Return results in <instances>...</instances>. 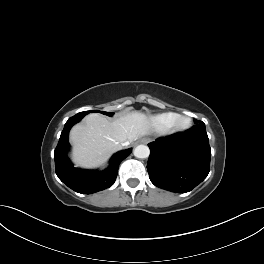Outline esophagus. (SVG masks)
I'll return each mask as SVG.
<instances>
[{"label":"esophagus","mask_w":264,"mask_h":264,"mask_svg":"<svg viewBox=\"0 0 264 264\" xmlns=\"http://www.w3.org/2000/svg\"><path fill=\"white\" fill-rule=\"evenodd\" d=\"M140 142H141V143H144V144H147V143L149 142V139H147V138H142V139L140 140Z\"/></svg>","instance_id":"34e87169"}]
</instances>
